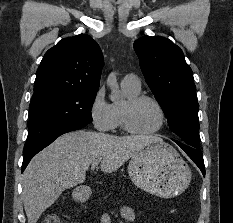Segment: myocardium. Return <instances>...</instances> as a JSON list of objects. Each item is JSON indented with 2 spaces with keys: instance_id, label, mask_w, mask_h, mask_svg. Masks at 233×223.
<instances>
[{
  "instance_id": "f54148a6",
  "label": "myocardium",
  "mask_w": 233,
  "mask_h": 223,
  "mask_svg": "<svg viewBox=\"0 0 233 223\" xmlns=\"http://www.w3.org/2000/svg\"><path fill=\"white\" fill-rule=\"evenodd\" d=\"M144 101L153 102L159 109L161 118H162L161 125L156 130L152 132H147V133L136 130L132 123V115H133L134 109L140 103ZM122 117H123L124 129L129 134L133 136H137V137H151V136L158 135L165 129L167 125V113H166L165 108L163 107V105L161 104L159 100L149 95H137L135 97L128 99L123 105Z\"/></svg>"
}]
</instances>
